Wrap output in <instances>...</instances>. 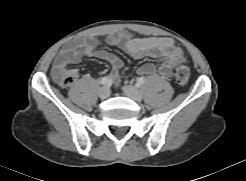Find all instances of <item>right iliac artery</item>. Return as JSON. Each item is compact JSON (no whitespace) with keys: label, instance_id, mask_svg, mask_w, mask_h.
Returning a JSON list of instances; mask_svg holds the SVG:
<instances>
[{"label":"right iliac artery","instance_id":"right-iliac-artery-1","mask_svg":"<svg viewBox=\"0 0 246 181\" xmlns=\"http://www.w3.org/2000/svg\"><path fill=\"white\" fill-rule=\"evenodd\" d=\"M111 83V79L108 76L102 77L100 80V84L107 85Z\"/></svg>","mask_w":246,"mask_h":181}]
</instances>
